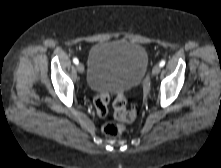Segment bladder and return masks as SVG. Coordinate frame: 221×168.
<instances>
[{
    "label": "bladder",
    "instance_id": "bladder-1",
    "mask_svg": "<svg viewBox=\"0 0 221 168\" xmlns=\"http://www.w3.org/2000/svg\"><path fill=\"white\" fill-rule=\"evenodd\" d=\"M147 67L143 46L123 40L99 42L89 52L87 83L95 91L130 90L142 81Z\"/></svg>",
    "mask_w": 221,
    "mask_h": 168
}]
</instances>
